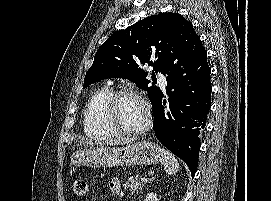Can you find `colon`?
<instances>
[{"mask_svg": "<svg viewBox=\"0 0 271 201\" xmlns=\"http://www.w3.org/2000/svg\"><path fill=\"white\" fill-rule=\"evenodd\" d=\"M87 189L88 186L86 180L79 178L74 182L73 192L77 198L84 197L87 193Z\"/></svg>", "mask_w": 271, "mask_h": 201, "instance_id": "5ec220e1", "label": "colon"}]
</instances>
